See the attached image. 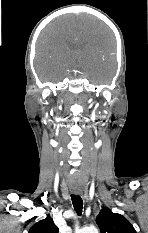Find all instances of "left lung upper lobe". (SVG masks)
<instances>
[{"mask_svg":"<svg viewBox=\"0 0 148 233\" xmlns=\"http://www.w3.org/2000/svg\"><path fill=\"white\" fill-rule=\"evenodd\" d=\"M96 223L101 233H136L132 224L122 215L104 207L97 216Z\"/></svg>","mask_w":148,"mask_h":233,"instance_id":"1","label":"left lung upper lobe"}]
</instances>
